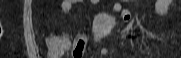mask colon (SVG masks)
<instances>
[{"label": "colon", "instance_id": "5ec220e1", "mask_svg": "<svg viewBox=\"0 0 181 58\" xmlns=\"http://www.w3.org/2000/svg\"><path fill=\"white\" fill-rule=\"evenodd\" d=\"M49 45L54 47L55 46V40L52 38L48 41ZM85 41L83 38H78L74 41L73 48H74V58H80L83 53Z\"/></svg>", "mask_w": 181, "mask_h": 58}]
</instances>
